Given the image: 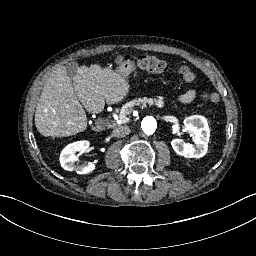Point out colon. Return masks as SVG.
<instances>
[{
	"label": "colon",
	"mask_w": 256,
	"mask_h": 256,
	"mask_svg": "<svg viewBox=\"0 0 256 256\" xmlns=\"http://www.w3.org/2000/svg\"><path fill=\"white\" fill-rule=\"evenodd\" d=\"M127 58H134L136 60V69L146 70L152 74H162L169 69L165 62L154 56L140 55L137 57H131L125 55L122 57L121 62ZM179 76L181 84L184 86H189L196 80L195 71L186 66L179 69ZM203 99L207 103L215 104L218 102V95L214 91H206L203 94Z\"/></svg>",
	"instance_id": "5ec220e1"
}]
</instances>
